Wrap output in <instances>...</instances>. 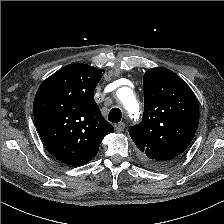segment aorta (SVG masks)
Wrapping results in <instances>:
<instances>
[{
    "instance_id": "1",
    "label": "aorta",
    "mask_w": 224,
    "mask_h": 224,
    "mask_svg": "<svg viewBox=\"0 0 224 224\" xmlns=\"http://www.w3.org/2000/svg\"><path fill=\"white\" fill-rule=\"evenodd\" d=\"M119 98L130 117L134 120L138 119L140 115L139 104L135 99L133 91L128 87H123L120 89Z\"/></svg>"
}]
</instances>
